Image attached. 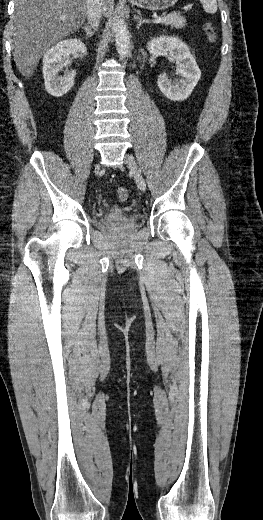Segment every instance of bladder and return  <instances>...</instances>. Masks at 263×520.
<instances>
[{"label": "bladder", "instance_id": "bladder-1", "mask_svg": "<svg viewBox=\"0 0 263 520\" xmlns=\"http://www.w3.org/2000/svg\"><path fill=\"white\" fill-rule=\"evenodd\" d=\"M138 221V217L136 215H129L123 218H120L114 222V226L118 228H129L136 225Z\"/></svg>", "mask_w": 263, "mask_h": 520}]
</instances>
